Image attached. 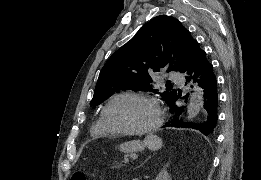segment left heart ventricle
Segmentation results:
<instances>
[{"label":"left heart ventricle","mask_w":261,"mask_h":180,"mask_svg":"<svg viewBox=\"0 0 261 180\" xmlns=\"http://www.w3.org/2000/svg\"><path fill=\"white\" fill-rule=\"evenodd\" d=\"M154 116L150 102L136 96L115 101L107 110V120L120 133H143L148 130Z\"/></svg>","instance_id":"b2bd125f"}]
</instances>
